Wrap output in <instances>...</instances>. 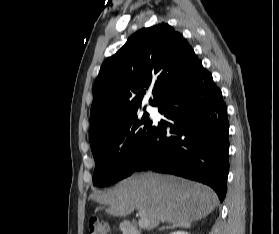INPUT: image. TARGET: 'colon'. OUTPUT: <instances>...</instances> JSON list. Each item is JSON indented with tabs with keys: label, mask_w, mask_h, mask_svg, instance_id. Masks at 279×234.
I'll return each instance as SVG.
<instances>
[{
	"label": "colon",
	"mask_w": 279,
	"mask_h": 234,
	"mask_svg": "<svg viewBox=\"0 0 279 234\" xmlns=\"http://www.w3.org/2000/svg\"><path fill=\"white\" fill-rule=\"evenodd\" d=\"M87 232L88 234H108L109 225L105 220L94 216L89 220Z\"/></svg>",
	"instance_id": "1"
}]
</instances>
